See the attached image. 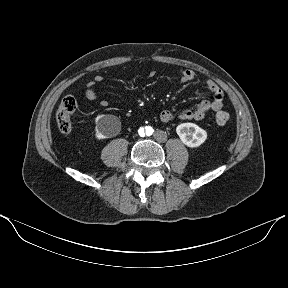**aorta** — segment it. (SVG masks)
I'll use <instances>...</instances> for the list:
<instances>
[{
	"label": "aorta",
	"instance_id": "obj_1",
	"mask_svg": "<svg viewBox=\"0 0 288 288\" xmlns=\"http://www.w3.org/2000/svg\"><path fill=\"white\" fill-rule=\"evenodd\" d=\"M151 133H152V128H151L149 125L141 126V127L138 129V134H139L141 137H147V136H149Z\"/></svg>",
	"mask_w": 288,
	"mask_h": 288
}]
</instances>
